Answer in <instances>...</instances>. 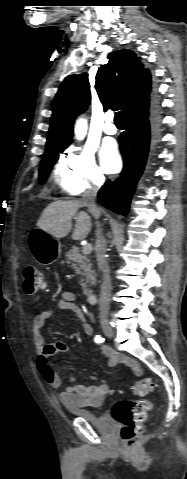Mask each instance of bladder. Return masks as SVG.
Segmentation results:
<instances>
[{
  "label": "bladder",
  "mask_w": 187,
  "mask_h": 479,
  "mask_svg": "<svg viewBox=\"0 0 187 479\" xmlns=\"http://www.w3.org/2000/svg\"><path fill=\"white\" fill-rule=\"evenodd\" d=\"M75 413L77 416L88 420L101 433L108 434L115 429V423L111 418L105 416H97L84 410H75Z\"/></svg>",
  "instance_id": "31cf9c89"
}]
</instances>
